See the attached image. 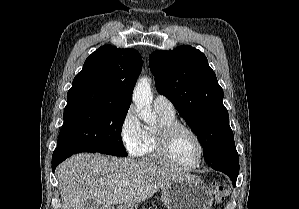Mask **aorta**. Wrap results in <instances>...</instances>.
Returning <instances> with one entry per match:
<instances>
[{
    "label": "aorta",
    "instance_id": "obj_1",
    "mask_svg": "<svg viewBox=\"0 0 299 209\" xmlns=\"http://www.w3.org/2000/svg\"><path fill=\"white\" fill-rule=\"evenodd\" d=\"M132 100L136 106L138 117L147 124H155L157 120L156 115L152 113L153 94L150 79L144 77L137 82Z\"/></svg>",
    "mask_w": 299,
    "mask_h": 209
}]
</instances>
